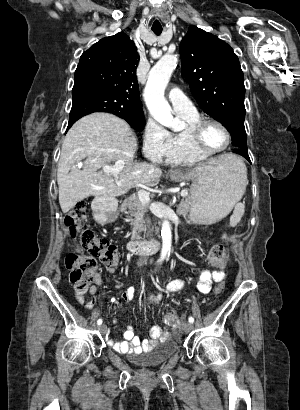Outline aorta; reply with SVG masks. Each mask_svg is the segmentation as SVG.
<instances>
[{
  "label": "aorta",
  "mask_w": 300,
  "mask_h": 410,
  "mask_svg": "<svg viewBox=\"0 0 300 410\" xmlns=\"http://www.w3.org/2000/svg\"><path fill=\"white\" fill-rule=\"evenodd\" d=\"M177 62L176 55H164L150 70L144 89V99L152 117L160 124L175 131L180 129L181 122L173 117L172 109L164 97V92ZM161 237L162 249L159 263L163 262L171 249V225L167 219L162 222Z\"/></svg>",
  "instance_id": "aorta-1"
}]
</instances>
